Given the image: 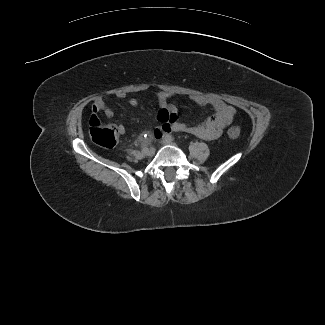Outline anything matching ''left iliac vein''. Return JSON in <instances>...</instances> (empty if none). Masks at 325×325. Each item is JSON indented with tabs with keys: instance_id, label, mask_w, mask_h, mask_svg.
<instances>
[{
	"instance_id": "obj_1",
	"label": "left iliac vein",
	"mask_w": 325,
	"mask_h": 325,
	"mask_svg": "<svg viewBox=\"0 0 325 325\" xmlns=\"http://www.w3.org/2000/svg\"><path fill=\"white\" fill-rule=\"evenodd\" d=\"M162 144H164V145H176L172 140H169L167 138H163Z\"/></svg>"
}]
</instances>
